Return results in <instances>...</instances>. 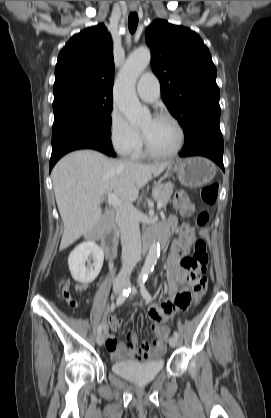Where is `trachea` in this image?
<instances>
[{
    "mask_svg": "<svg viewBox=\"0 0 271 418\" xmlns=\"http://www.w3.org/2000/svg\"><path fill=\"white\" fill-rule=\"evenodd\" d=\"M138 25V15L136 12H131L128 19V28L131 33H134Z\"/></svg>",
    "mask_w": 271,
    "mask_h": 418,
    "instance_id": "trachea-1",
    "label": "trachea"
}]
</instances>
